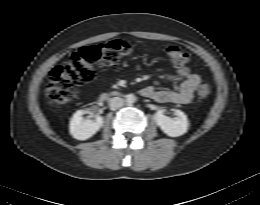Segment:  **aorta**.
<instances>
[{"mask_svg": "<svg viewBox=\"0 0 260 205\" xmlns=\"http://www.w3.org/2000/svg\"><path fill=\"white\" fill-rule=\"evenodd\" d=\"M135 102H136V97H135V95H133V94H128V95L126 96V103H127V104L131 105V104H133V103H135Z\"/></svg>", "mask_w": 260, "mask_h": 205, "instance_id": "aorta-1", "label": "aorta"}]
</instances>
